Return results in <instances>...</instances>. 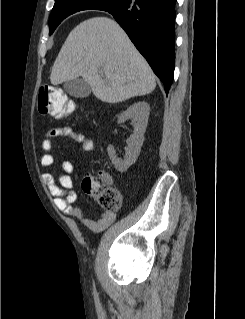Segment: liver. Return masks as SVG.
Returning <instances> with one entry per match:
<instances>
[{"label": "liver", "instance_id": "1", "mask_svg": "<svg viewBox=\"0 0 245 319\" xmlns=\"http://www.w3.org/2000/svg\"><path fill=\"white\" fill-rule=\"evenodd\" d=\"M82 77L96 98L119 103L151 93L155 76L120 25L89 18L68 35L51 70L53 85Z\"/></svg>", "mask_w": 245, "mask_h": 319}]
</instances>
